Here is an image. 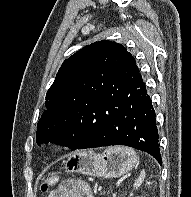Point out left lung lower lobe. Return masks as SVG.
<instances>
[{
	"label": "left lung lower lobe",
	"instance_id": "0a47b994",
	"mask_svg": "<svg viewBox=\"0 0 191 197\" xmlns=\"http://www.w3.org/2000/svg\"><path fill=\"white\" fill-rule=\"evenodd\" d=\"M155 111L140 73L100 97L92 113L79 115L66 134L71 149L126 145L152 155L161 165Z\"/></svg>",
	"mask_w": 191,
	"mask_h": 197
}]
</instances>
